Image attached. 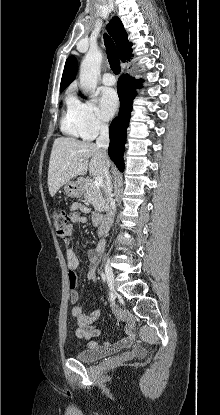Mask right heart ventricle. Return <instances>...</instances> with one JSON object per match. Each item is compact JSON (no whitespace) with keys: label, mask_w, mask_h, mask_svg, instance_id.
Returning <instances> with one entry per match:
<instances>
[{"label":"right heart ventricle","mask_w":220,"mask_h":415,"mask_svg":"<svg viewBox=\"0 0 220 415\" xmlns=\"http://www.w3.org/2000/svg\"><path fill=\"white\" fill-rule=\"evenodd\" d=\"M79 104L73 93H68L64 101V110L60 122L64 134L72 137H83V129L79 114Z\"/></svg>","instance_id":"obj_1"}]
</instances>
